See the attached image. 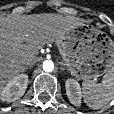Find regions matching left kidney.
I'll use <instances>...</instances> for the list:
<instances>
[{
	"instance_id": "left-kidney-1",
	"label": "left kidney",
	"mask_w": 114,
	"mask_h": 114,
	"mask_svg": "<svg viewBox=\"0 0 114 114\" xmlns=\"http://www.w3.org/2000/svg\"><path fill=\"white\" fill-rule=\"evenodd\" d=\"M65 87L69 101L75 106H80L82 99L80 84L76 80L70 78L66 80Z\"/></svg>"
}]
</instances>
